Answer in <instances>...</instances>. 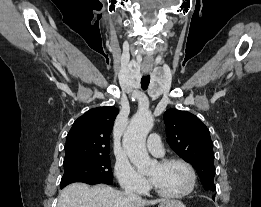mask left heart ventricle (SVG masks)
<instances>
[{
	"label": "left heart ventricle",
	"mask_w": 261,
	"mask_h": 207,
	"mask_svg": "<svg viewBox=\"0 0 261 207\" xmlns=\"http://www.w3.org/2000/svg\"><path fill=\"white\" fill-rule=\"evenodd\" d=\"M148 176L159 189L167 193L181 192L189 183L188 172L180 164L163 166L157 163L149 170Z\"/></svg>",
	"instance_id": "b2bd125f"
}]
</instances>
